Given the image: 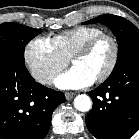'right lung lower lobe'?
Wrapping results in <instances>:
<instances>
[{
	"mask_svg": "<svg viewBox=\"0 0 139 139\" xmlns=\"http://www.w3.org/2000/svg\"><path fill=\"white\" fill-rule=\"evenodd\" d=\"M62 92L37 83L25 61L0 55V139H43Z\"/></svg>",
	"mask_w": 139,
	"mask_h": 139,
	"instance_id": "1",
	"label": "right lung lower lobe"
}]
</instances>
